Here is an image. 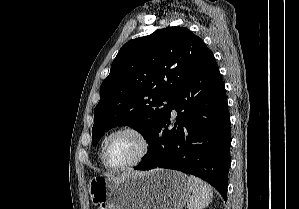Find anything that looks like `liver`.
I'll return each instance as SVG.
<instances>
[{"label": "liver", "instance_id": "liver-1", "mask_svg": "<svg viewBox=\"0 0 299 209\" xmlns=\"http://www.w3.org/2000/svg\"><path fill=\"white\" fill-rule=\"evenodd\" d=\"M140 172H134V171H130V172H126V173H123L121 174L119 177H122V176H127L129 174H139ZM106 176L108 177H113L111 174H106ZM114 178V177H113Z\"/></svg>", "mask_w": 299, "mask_h": 209}]
</instances>
